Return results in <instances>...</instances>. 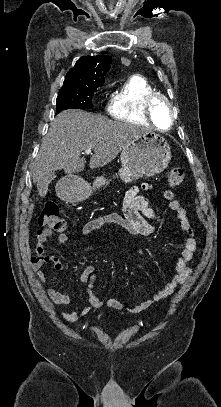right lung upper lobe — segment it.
I'll return each instance as SVG.
<instances>
[{
	"label": "right lung upper lobe",
	"mask_w": 221,
	"mask_h": 407,
	"mask_svg": "<svg viewBox=\"0 0 221 407\" xmlns=\"http://www.w3.org/2000/svg\"><path fill=\"white\" fill-rule=\"evenodd\" d=\"M110 63L108 55L81 57L65 76L62 89H97L104 84Z\"/></svg>",
	"instance_id": "right-lung-upper-lobe-1"
}]
</instances>
